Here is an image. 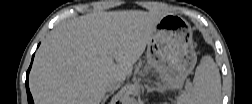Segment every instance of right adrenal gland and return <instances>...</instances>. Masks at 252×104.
<instances>
[{
  "label": "right adrenal gland",
  "mask_w": 252,
  "mask_h": 104,
  "mask_svg": "<svg viewBox=\"0 0 252 104\" xmlns=\"http://www.w3.org/2000/svg\"><path fill=\"white\" fill-rule=\"evenodd\" d=\"M112 94H113V92L107 94V95L104 97V99H103V101L101 102V104H105L106 101H107V99H108Z\"/></svg>",
  "instance_id": "right-adrenal-gland-1"
}]
</instances>
